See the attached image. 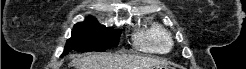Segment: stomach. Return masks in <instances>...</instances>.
Returning a JSON list of instances; mask_svg holds the SVG:
<instances>
[{
  "instance_id": "1",
  "label": "stomach",
  "mask_w": 246,
  "mask_h": 69,
  "mask_svg": "<svg viewBox=\"0 0 246 69\" xmlns=\"http://www.w3.org/2000/svg\"><path fill=\"white\" fill-rule=\"evenodd\" d=\"M150 69H172L171 67L167 66V65H157V66H154V67H151Z\"/></svg>"
}]
</instances>
